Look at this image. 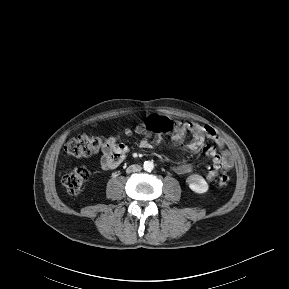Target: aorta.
<instances>
[{
    "instance_id": "obj_1",
    "label": "aorta",
    "mask_w": 289,
    "mask_h": 289,
    "mask_svg": "<svg viewBox=\"0 0 289 289\" xmlns=\"http://www.w3.org/2000/svg\"><path fill=\"white\" fill-rule=\"evenodd\" d=\"M143 168L145 171H152L154 169V163L152 161H145L143 164Z\"/></svg>"
}]
</instances>
